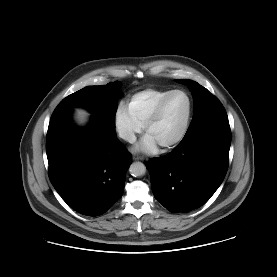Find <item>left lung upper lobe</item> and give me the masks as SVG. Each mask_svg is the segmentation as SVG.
I'll use <instances>...</instances> for the list:
<instances>
[{
    "label": "left lung upper lobe",
    "instance_id": "1",
    "mask_svg": "<svg viewBox=\"0 0 277 277\" xmlns=\"http://www.w3.org/2000/svg\"><path fill=\"white\" fill-rule=\"evenodd\" d=\"M177 81L186 84L194 97L195 113L187 132L212 118L227 115L220 101L206 88L188 79H177Z\"/></svg>",
    "mask_w": 277,
    "mask_h": 277
}]
</instances>
